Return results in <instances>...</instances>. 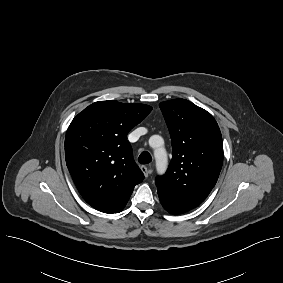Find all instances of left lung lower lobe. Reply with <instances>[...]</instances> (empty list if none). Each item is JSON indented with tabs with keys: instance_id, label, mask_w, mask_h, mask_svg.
I'll return each mask as SVG.
<instances>
[{
	"instance_id": "obj_1",
	"label": "left lung lower lobe",
	"mask_w": 283,
	"mask_h": 283,
	"mask_svg": "<svg viewBox=\"0 0 283 283\" xmlns=\"http://www.w3.org/2000/svg\"><path fill=\"white\" fill-rule=\"evenodd\" d=\"M159 199L165 210H167L171 214H179L177 211H175L168 205V202L161 195H159Z\"/></svg>"
}]
</instances>
